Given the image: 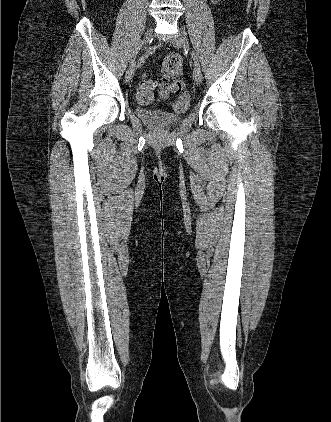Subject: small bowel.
Listing matches in <instances>:
<instances>
[{
	"label": "small bowel",
	"instance_id": "c3829d8e",
	"mask_svg": "<svg viewBox=\"0 0 331 422\" xmlns=\"http://www.w3.org/2000/svg\"><path fill=\"white\" fill-rule=\"evenodd\" d=\"M218 1L219 0H211V2L214 3V4L217 3ZM154 52H155V48L152 47L146 52V55L150 56ZM152 93H153L152 82L149 81V80H145V81L141 82L140 87L138 89V93H137L138 100L141 103H148L152 99Z\"/></svg>",
	"mask_w": 331,
	"mask_h": 422
}]
</instances>
